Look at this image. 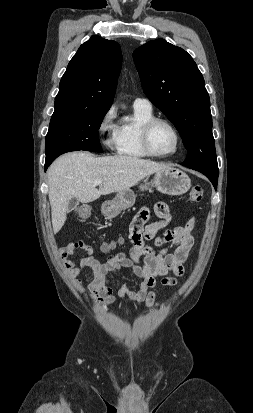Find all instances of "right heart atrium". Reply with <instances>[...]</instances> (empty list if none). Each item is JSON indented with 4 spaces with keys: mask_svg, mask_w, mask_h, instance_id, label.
I'll return each mask as SVG.
<instances>
[{
    "mask_svg": "<svg viewBox=\"0 0 253 413\" xmlns=\"http://www.w3.org/2000/svg\"><path fill=\"white\" fill-rule=\"evenodd\" d=\"M117 112L114 106L109 107L98 124V134L105 148L117 149L119 142L120 126L116 122Z\"/></svg>",
    "mask_w": 253,
    "mask_h": 413,
    "instance_id": "d8ad5b80",
    "label": "right heart atrium"
}]
</instances>
